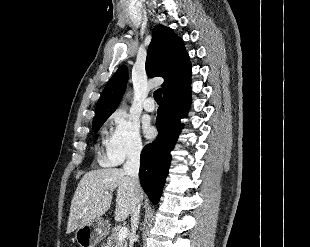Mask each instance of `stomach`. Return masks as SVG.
<instances>
[{
  "instance_id": "obj_1",
  "label": "stomach",
  "mask_w": 310,
  "mask_h": 247,
  "mask_svg": "<svg viewBox=\"0 0 310 247\" xmlns=\"http://www.w3.org/2000/svg\"><path fill=\"white\" fill-rule=\"evenodd\" d=\"M108 222L96 218L90 222L80 224L75 233V239L80 247H95L108 232Z\"/></svg>"
}]
</instances>
